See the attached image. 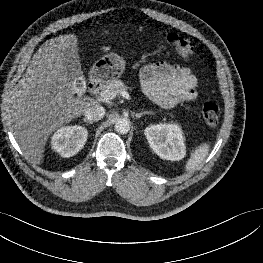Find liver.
I'll list each match as a JSON object with an SVG mask.
<instances>
[{
  "label": "liver",
  "mask_w": 263,
  "mask_h": 263,
  "mask_svg": "<svg viewBox=\"0 0 263 263\" xmlns=\"http://www.w3.org/2000/svg\"><path fill=\"white\" fill-rule=\"evenodd\" d=\"M67 49L79 51L74 34L45 42L33 56L11 99L14 136L24 156L34 164L42 162L46 142L54 131L96 103L90 98L74 97V82L63 66Z\"/></svg>",
  "instance_id": "liver-1"
}]
</instances>
